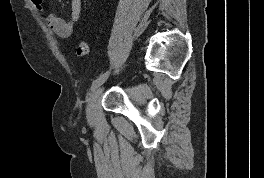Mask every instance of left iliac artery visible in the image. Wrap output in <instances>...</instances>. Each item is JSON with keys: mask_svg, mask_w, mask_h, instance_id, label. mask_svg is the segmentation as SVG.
Wrapping results in <instances>:
<instances>
[{"mask_svg": "<svg viewBox=\"0 0 264 178\" xmlns=\"http://www.w3.org/2000/svg\"><path fill=\"white\" fill-rule=\"evenodd\" d=\"M109 74V71H106L104 74L100 75L97 79H95L92 83L91 90L97 88L102 82L105 81Z\"/></svg>", "mask_w": 264, "mask_h": 178, "instance_id": "left-iliac-artery-1", "label": "left iliac artery"}]
</instances>
